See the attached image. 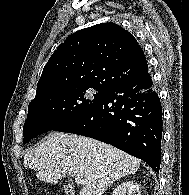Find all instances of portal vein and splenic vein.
Returning a JSON list of instances; mask_svg holds the SVG:
<instances>
[{"label":"portal vein and splenic vein","instance_id":"1","mask_svg":"<svg viewBox=\"0 0 189 195\" xmlns=\"http://www.w3.org/2000/svg\"><path fill=\"white\" fill-rule=\"evenodd\" d=\"M75 182H76V184H83V185L87 184V181L84 180V179H82V178L79 177V176H76V177H75Z\"/></svg>","mask_w":189,"mask_h":195}]
</instances>
